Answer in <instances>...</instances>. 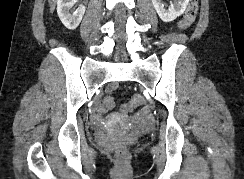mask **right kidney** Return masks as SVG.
I'll return each mask as SVG.
<instances>
[{
	"label": "right kidney",
	"instance_id": "obj_1",
	"mask_svg": "<svg viewBox=\"0 0 244 179\" xmlns=\"http://www.w3.org/2000/svg\"><path fill=\"white\" fill-rule=\"evenodd\" d=\"M76 2L77 0H57V14L68 30H76L85 14V6H80L76 12L71 10Z\"/></svg>",
	"mask_w": 244,
	"mask_h": 179
}]
</instances>
